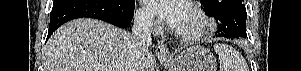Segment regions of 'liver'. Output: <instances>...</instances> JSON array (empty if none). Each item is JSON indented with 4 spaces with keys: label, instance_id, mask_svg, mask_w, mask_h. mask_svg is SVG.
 Masks as SVG:
<instances>
[{
    "label": "liver",
    "instance_id": "6515ba94",
    "mask_svg": "<svg viewBox=\"0 0 301 71\" xmlns=\"http://www.w3.org/2000/svg\"><path fill=\"white\" fill-rule=\"evenodd\" d=\"M44 71H154L137 39L102 21L80 18L58 28L43 55Z\"/></svg>",
    "mask_w": 301,
    "mask_h": 71
}]
</instances>
